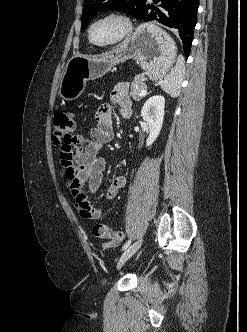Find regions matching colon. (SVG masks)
Wrapping results in <instances>:
<instances>
[{
	"mask_svg": "<svg viewBox=\"0 0 247 332\" xmlns=\"http://www.w3.org/2000/svg\"><path fill=\"white\" fill-rule=\"evenodd\" d=\"M76 125L75 114L72 112L60 111L55 113L53 117L54 128V142L57 145H71L73 142L72 132ZM93 233L96 237L111 240L114 242H121L124 235L121 231L113 230L110 226L105 224H96L93 228Z\"/></svg>",
	"mask_w": 247,
	"mask_h": 332,
	"instance_id": "colon-1",
	"label": "colon"
}]
</instances>
